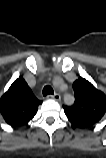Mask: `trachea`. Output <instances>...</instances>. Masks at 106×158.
<instances>
[{
	"label": "trachea",
	"mask_w": 106,
	"mask_h": 158,
	"mask_svg": "<svg viewBox=\"0 0 106 158\" xmlns=\"http://www.w3.org/2000/svg\"><path fill=\"white\" fill-rule=\"evenodd\" d=\"M43 96H47V95H50V94H54V90L51 86L47 85L43 88Z\"/></svg>",
	"instance_id": "trachea-1"
}]
</instances>
